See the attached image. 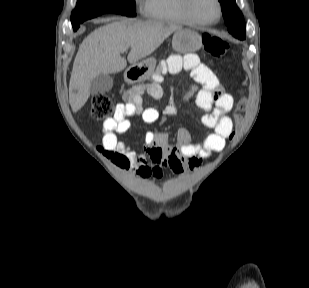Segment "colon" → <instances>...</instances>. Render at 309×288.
<instances>
[{"label": "colon", "instance_id": "obj_1", "mask_svg": "<svg viewBox=\"0 0 309 288\" xmlns=\"http://www.w3.org/2000/svg\"><path fill=\"white\" fill-rule=\"evenodd\" d=\"M203 44L205 50L215 58H223L229 51V44L222 40L219 37L204 34L203 35ZM248 105V99L246 96L241 98L236 105V110L234 113V120L236 126H239L243 122V115L242 113L245 111ZM117 106L111 97L106 93H97L92 98L91 110L90 114L91 117L95 120H103L109 118L117 111ZM231 138L234 137V132L230 136ZM111 158L115 162H119L123 159L121 155L113 154Z\"/></svg>", "mask_w": 309, "mask_h": 288}]
</instances>
